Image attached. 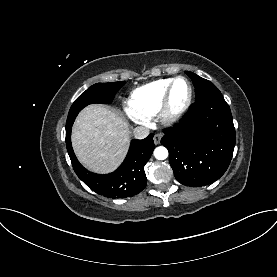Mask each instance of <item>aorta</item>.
Wrapping results in <instances>:
<instances>
[{
	"label": "aorta",
	"instance_id": "1",
	"mask_svg": "<svg viewBox=\"0 0 277 277\" xmlns=\"http://www.w3.org/2000/svg\"><path fill=\"white\" fill-rule=\"evenodd\" d=\"M154 156L158 160H164L168 157V150L163 146H159L155 148Z\"/></svg>",
	"mask_w": 277,
	"mask_h": 277
}]
</instances>
